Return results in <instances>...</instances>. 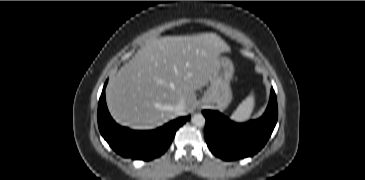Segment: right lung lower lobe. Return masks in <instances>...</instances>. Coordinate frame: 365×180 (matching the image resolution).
<instances>
[{"label":"right lung lower lobe","instance_id":"98d812e1","mask_svg":"<svg viewBox=\"0 0 365 180\" xmlns=\"http://www.w3.org/2000/svg\"><path fill=\"white\" fill-rule=\"evenodd\" d=\"M104 85L98 105V126L101 135L119 155L133 160L148 161L162 155L172 142L177 129L189 116L173 120L150 131H135L119 126L111 118L105 101Z\"/></svg>","mask_w":365,"mask_h":180}]
</instances>
